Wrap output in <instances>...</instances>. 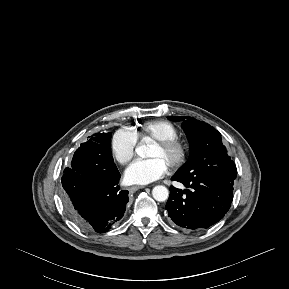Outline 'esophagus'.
<instances>
[{
	"mask_svg": "<svg viewBox=\"0 0 289 289\" xmlns=\"http://www.w3.org/2000/svg\"><path fill=\"white\" fill-rule=\"evenodd\" d=\"M140 188H143V186H131V187L129 188V191H130V192H135V191H137V190L140 189Z\"/></svg>",
	"mask_w": 289,
	"mask_h": 289,
	"instance_id": "obj_1",
	"label": "esophagus"
}]
</instances>
